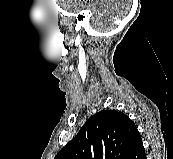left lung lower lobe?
<instances>
[{
    "label": "left lung lower lobe",
    "instance_id": "1",
    "mask_svg": "<svg viewBox=\"0 0 173 159\" xmlns=\"http://www.w3.org/2000/svg\"><path fill=\"white\" fill-rule=\"evenodd\" d=\"M127 159H146L145 149L142 142L132 151Z\"/></svg>",
    "mask_w": 173,
    "mask_h": 159
}]
</instances>
